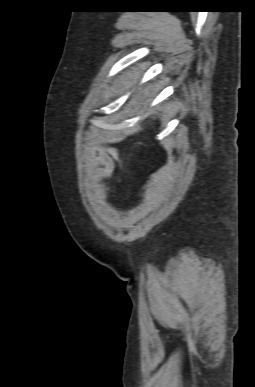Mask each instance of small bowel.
Here are the masks:
<instances>
[{"label": "small bowel", "mask_w": 255, "mask_h": 387, "mask_svg": "<svg viewBox=\"0 0 255 387\" xmlns=\"http://www.w3.org/2000/svg\"><path fill=\"white\" fill-rule=\"evenodd\" d=\"M120 157L118 147L108 148L95 147L92 151V159L88 162V168L91 170V180L100 182L110 179L116 170L114 159Z\"/></svg>", "instance_id": "obj_1"}]
</instances>
